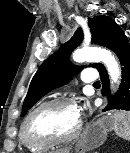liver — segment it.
<instances>
[{
    "mask_svg": "<svg viewBox=\"0 0 130 153\" xmlns=\"http://www.w3.org/2000/svg\"><path fill=\"white\" fill-rule=\"evenodd\" d=\"M57 153H69V150H60Z\"/></svg>",
    "mask_w": 130,
    "mask_h": 153,
    "instance_id": "obj_1",
    "label": "liver"
}]
</instances>
